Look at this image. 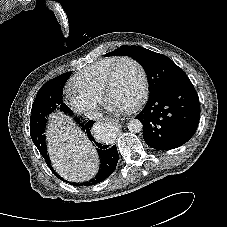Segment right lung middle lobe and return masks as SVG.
Segmentation results:
<instances>
[{"label":"right lung middle lobe","instance_id":"obj_1","mask_svg":"<svg viewBox=\"0 0 227 227\" xmlns=\"http://www.w3.org/2000/svg\"><path fill=\"white\" fill-rule=\"evenodd\" d=\"M71 73H64L46 82L39 89L32 105L30 117L31 138L42 156L47 155L44 131L48 114L55 109L72 114L62 100L63 87Z\"/></svg>","mask_w":227,"mask_h":227}]
</instances>
